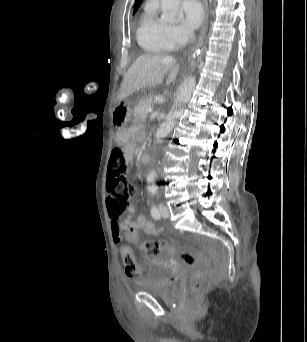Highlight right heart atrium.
<instances>
[{"label":"right heart atrium","instance_id":"obj_1","mask_svg":"<svg viewBox=\"0 0 307 342\" xmlns=\"http://www.w3.org/2000/svg\"><path fill=\"white\" fill-rule=\"evenodd\" d=\"M160 34L163 40L172 47L178 46L180 43V31L177 28H160Z\"/></svg>","mask_w":307,"mask_h":342}]
</instances>
